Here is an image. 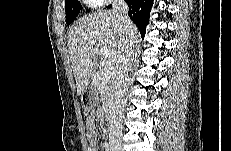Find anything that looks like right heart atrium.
<instances>
[{
    "instance_id": "d8ad5b80",
    "label": "right heart atrium",
    "mask_w": 231,
    "mask_h": 151,
    "mask_svg": "<svg viewBox=\"0 0 231 151\" xmlns=\"http://www.w3.org/2000/svg\"><path fill=\"white\" fill-rule=\"evenodd\" d=\"M91 5H94V6H100V5H104L110 1H105V0H90L88 1Z\"/></svg>"
}]
</instances>
